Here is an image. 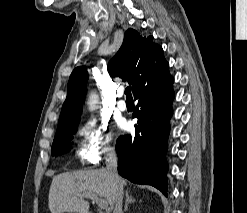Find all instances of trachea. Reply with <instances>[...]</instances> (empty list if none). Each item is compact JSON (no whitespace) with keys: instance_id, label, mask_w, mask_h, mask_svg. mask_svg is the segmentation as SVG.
I'll return each mask as SVG.
<instances>
[{"instance_id":"obj_1","label":"trachea","mask_w":247,"mask_h":213,"mask_svg":"<svg viewBox=\"0 0 247 213\" xmlns=\"http://www.w3.org/2000/svg\"><path fill=\"white\" fill-rule=\"evenodd\" d=\"M125 94H126V98L127 99H132V95H131V87L128 86L126 89H125Z\"/></svg>"}]
</instances>
